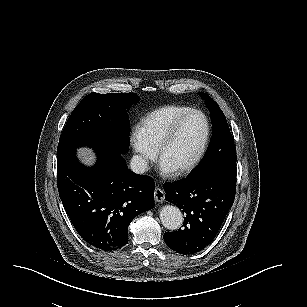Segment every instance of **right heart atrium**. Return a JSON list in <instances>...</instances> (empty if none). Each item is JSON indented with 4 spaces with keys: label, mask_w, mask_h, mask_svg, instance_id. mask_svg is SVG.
Instances as JSON below:
<instances>
[{
    "label": "right heart atrium",
    "mask_w": 307,
    "mask_h": 307,
    "mask_svg": "<svg viewBox=\"0 0 307 307\" xmlns=\"http://www.w3.org/2000/svg\"><path fill=\"white\" fill-rule=\"evenodd\" d=\"M136 158L144 163L150 162L154 156V146L147 134H140L133 143Z\"/></svg>",
    "instance_id": "right-heart-atrium-1"
}]
</instances>
